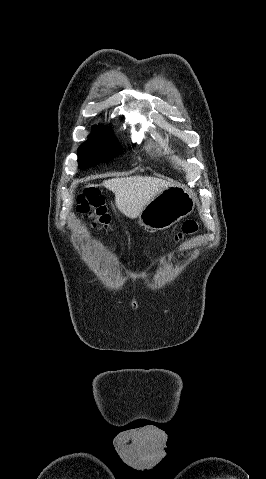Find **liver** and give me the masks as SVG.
Here are the masks:
<instances>
[{
	"label": "liver",
	"instance_id": "1",
	"mask_svg": "<svg viewBox=\"0 0 266 479\" xmlns=\"http://www.w3.org/2000/svg\"><path fill=\"white\" fill-rule=\"evenodd\" d=\"M115 194V205L128 218H136L142 209L157 195L174 184L151 176L113 178L103 183ZM94 186V185H88Z\"/></svg>",
	"mask_w": 266,
	"mask_h": 479
}]
</instances>
